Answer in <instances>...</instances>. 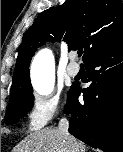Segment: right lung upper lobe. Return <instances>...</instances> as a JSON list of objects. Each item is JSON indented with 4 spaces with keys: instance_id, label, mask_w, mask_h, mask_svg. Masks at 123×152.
<instances>
[{
    "instance_id": "cb5924a9",
    "label": "right lung upper lobe",
    "mask_w": 123,
    "mask_h": 152,
    "mask_svg": "<svg viewBox=\"0 0 123 152\" xmlns=\"http://www.w3.org/2000/svg\"><path fill=\"white\" fill-rule=\"evenodd\" d=\"M123 36L121 0H66L43 11L28 30L17 57L11 94L31 84L29 64L34 51L46 41L64 37L71 49L84 48V63Z\"/></svg>"
}]
</instances>
